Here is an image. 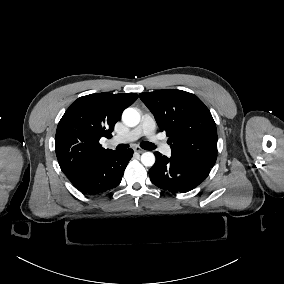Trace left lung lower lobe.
Instances as JSON below:
<instances>
[{"mask_svg": "<svg viewBox=\"0 0 284 284\" xmlns=\"http://www.w3.org/2000/svg\"><path fill=\"white\" fill-rule=\"evenodd\" d=\"M156 163L149 170L154 185L172 193H184L202 183L210 173V167L171 156H163L155 152Z\"/></svg>", "mask_w": 284, "mask_h": 284, "instance_id": "0a47b994", "label": "left lung lower lobe"}]
</instances>
